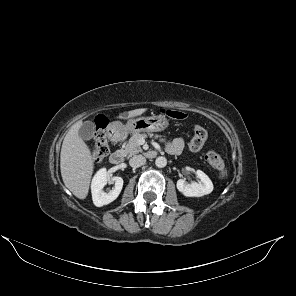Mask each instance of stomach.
Instances as JSON below:
<instances>
[{"label": "stomach", "mask_w": 296, "mask_h": 296, "mask_svg": "<svg viewBox=\"0 0 296 296\" xmlns=\"http://www.w3.org/2000/svg\"><path fill=\"white\" fill-rule=\"evenodd\" d=\"M114 124L121 133L158 132L165 130L169 125L167 118L163 115L130 119L126 125L121 122Z\"/></svg>", "instance_id": "0dacf381"}]
</instances>
